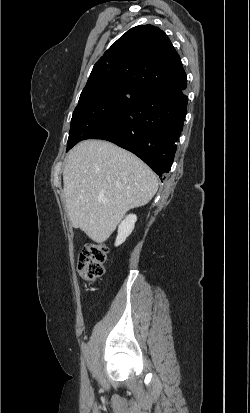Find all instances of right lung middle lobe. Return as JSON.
Returning a JSON list of instances; mask_svg holds the SVG:
<instances>
[{"mask_svg": "<svg viewBox=\"0 0 250 413\" xmlns=\"http://www.w3.org/2000/svg\"><path fill=\"white\" fill-rule=\"evenodd\" d=\"M141 92L124 85H96L83 89L73 112L67 151L112 120Z\"/></svg>", "mask_w": 250, "mask_h": 413, "instance_id": "dd1d6c3e", "label": "right lung middle lobe"}]
</instances>
